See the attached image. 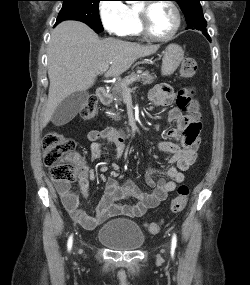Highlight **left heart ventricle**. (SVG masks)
<instances>
[{
  "label": "left heart ventricle",
  "mask_w": 250,
  "mask_h": 285,
  "mask_svg": "<svg viewBox=\"0 0 250 285\" xmlns=\"http://www.w3.org/2000/svg\"><path fill=\"white\" fill-rule=\"evenodd\" d=\"M149 26L156 36H167L173 30L176 18L173 10L165 3H154L148 11Z\"/></svg>",
  "instance_id": "b2bd125f"
}]
</instances>
